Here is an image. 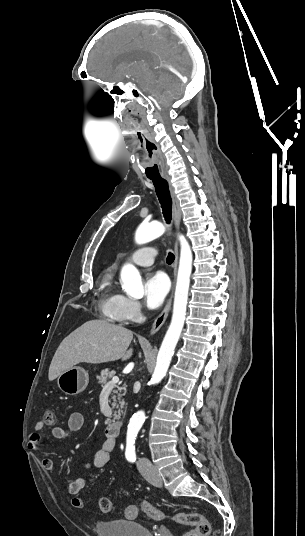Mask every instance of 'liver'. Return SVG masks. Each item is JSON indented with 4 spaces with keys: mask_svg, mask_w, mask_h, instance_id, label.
<instances>
[{
    "mask_svg": "<svg viewBox=\"0 0 305 536\" xmlns=\"http://www.w3.org/2000/svg\"><path fill=\"white\" fill-rule=\"evenodd\" d=\"M133 334L130 330L109 324L105 320L86 322L61 342L50 364L48 378L56 380L62 372L70 370L80 362L103 364L115 360H129L133 354Z\"/></svg>",
    "mask_w": 305,
    "mask_h": 536,
    "instance_id": "liver-1",
    "label": "liver"
}]
</instances>
